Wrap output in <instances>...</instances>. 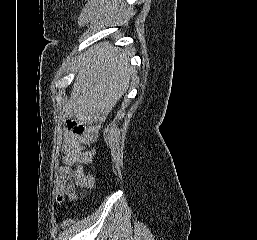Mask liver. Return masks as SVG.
<instances>
[{"mask_svg": "<svg viewBox=\"0 0 257 240\" xmlns=\"http://www.w3.org/2000/svg\"><path fill=\"white\" fill-rule=\"evenodd\" d=\"M128 51L102 43L91 48L78 66L65 116L81 122L107 115L126 92L136 71L128 64Z\"/></svg>", "mask_w": 257, "mask_h": 240, "instance_id": "1", "label": "liver"}]
</instances>
